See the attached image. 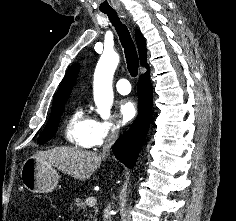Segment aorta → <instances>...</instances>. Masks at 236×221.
Listing matches in <instances>:
<instances>
[{"label": "aorta", "instance_id": "762f6f07", "mask_svg": "<svg viewBox=\"0 0 236 221\" xmlns=\"http://www.w3.org/2000/svg\"><path fill=\"white\" fill-rule=\"evenodd\" d=\"M119 64V55L115 52L104 53L98 63L100 77L94 87V101L97 112L104 118L110 116L113 103L112 79Z\"/></svg>", "mask_w": 236, "mask_h": 221}]
</instances>
